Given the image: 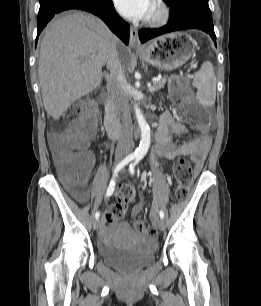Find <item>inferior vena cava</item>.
<instances>
[{
  "mask_svg": "<svg viewBox=\"0 0 261 306\" xmlns=\"http://www.w3.org/2000/svg\"><path fill=\"white\" fill-rule=\"evenodd\" d=\"M106 66L109 70L106 74L107 89L122 122L121 141L117 146V152L127 155L134 146L133 126L126 93L127 82L116 49L109 53Z\"/></svg>",
  "mask_w": 261,
  "mask_h": 306,
  "instance_id": "1",
  "label": "inferior vena cava"
}]
</instances>
